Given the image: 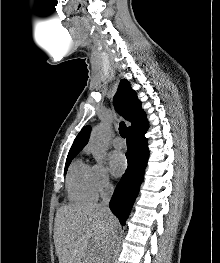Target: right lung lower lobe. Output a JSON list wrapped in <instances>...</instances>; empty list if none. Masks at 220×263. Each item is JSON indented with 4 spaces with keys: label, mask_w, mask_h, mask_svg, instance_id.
<instances>
[{
    "label": "right lung lower lobe",
    "mask_w": 220,
    "mask_h": 263,
    "mask_svg": "<svg viewBox=\"0 0 220 263\" xmlns=\"http://www.w3.org/2000/svg\"><path fill=\"white\" fill-rule=\"evenodd\" d=\"M146 129L127 134L128 167L110 201L111 211L122 225L125 224L143 180L148 160L147 141L144 137Z\"/></svg>",
    "instance_id": "obj_1"
}]
</instances>
